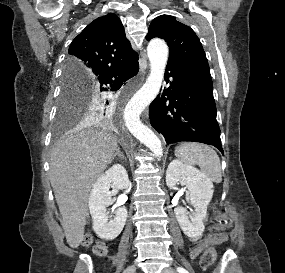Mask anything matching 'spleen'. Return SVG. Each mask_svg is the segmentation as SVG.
<instances>
[{"mask_svg": "<svg viewBox=\"0 0 285 273\" xmlns=\"http://www.w3.org/2000/svg\"><path fill=\"white\" fill-rule=\"evenodd\" d=\"M177 158L187 165H198L212 182L222 181L221 164L217 153L205 144L184 142L175 150Z\"/></svg>", "mask_w": 285, "mask_h": 273, "instance_id": "3e777b00", "label": "spleen"}]
</instances>
